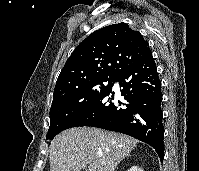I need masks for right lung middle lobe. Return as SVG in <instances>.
Listing matches in <instances>:
<instances>
[{"instance_id": "dd1d6c3e", "label": "right lung middle lobe", "mask_w": 199, "mask_h": 171, "mask_svg": "<svg viewBox=\"0 0 199 171\" xmlns=\"http://www.w3.org/2000/svg\"><path fill=\"white\" fill-rule=\"evenodd\" d=\"M115 79L116 77H100L89 80L53 101L50 109V127L46 138L53 139L63 131L77 114L108 90Z\"/></svg>"}]
</instances>
